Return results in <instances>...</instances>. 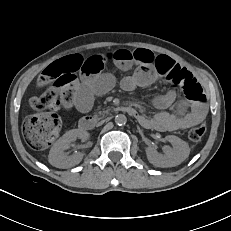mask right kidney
<instances>
[{
    "instance_id": "1",
    "label": "right kidney",
    "mask_w": 231,
    "mask_h": 231,
    "mask_svg": "<svg viewBox=\"0 0 231 231\" xmlns=\"http://www.w3.org/2000/svg\"><path fill=\"white\" fill-rule=\"evenodd\" d=\"M89 134L80 129H72L67 131L60 137L50 149L48 160L49 163L57 168H67L79 164L83 158V154L75 152L73 155H66L64 150L69 148V145L77 138L83 141L87 140Z\"/></svg>"
}]
</instances>
